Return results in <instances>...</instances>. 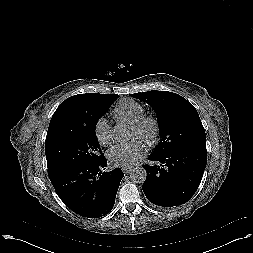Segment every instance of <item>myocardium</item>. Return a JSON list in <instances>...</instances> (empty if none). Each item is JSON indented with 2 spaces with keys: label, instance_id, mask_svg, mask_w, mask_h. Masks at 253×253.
<instances>
[{
  "label": "myocardium",
  "instance_id": "myocardium-1",
  "mask_svg": "<svg viewBox=\"0 0 253 253\" xmlns=\"http://www.w3.org/2000/svg\"><path fill=\"white\" fill-rule=\"evenodd\" d=\"M131 128L136 130L142 140L149 146L157 143L161 131L159 121L152 115L141 116L137 121L131 124ZM147 128H149V133L144 134Z\"/></svg>",
  "mask_w": 253,
  "mask_h": 253
}]
</instances>
